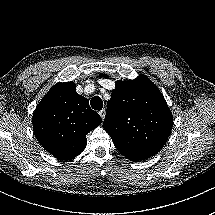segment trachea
Segmentation results:
<instances>
[{
    "label": "trachea",
    "mask_w": 215,
    "mask_h": 215,
    "mask_svg": "<svg viewBox=\"0 0 215 215\" xmlns=\"http://www.w3.org/2000/svg\"><path fill=\"white\" fill-rule=\"evenodd\" d=\"M91 107L94 110H101L103 108V101L99 96H94L91 99Z\"/></svg>",
    "instance_id": "obj_1"
}]
</instances>
